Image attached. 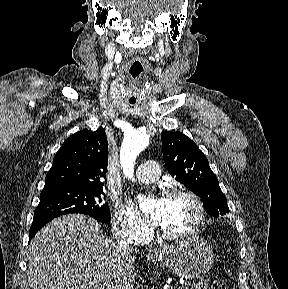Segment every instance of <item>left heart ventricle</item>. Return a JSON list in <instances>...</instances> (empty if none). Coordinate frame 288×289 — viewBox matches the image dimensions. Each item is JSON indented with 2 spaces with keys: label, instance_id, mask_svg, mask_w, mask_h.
<instances>
[{
  "label": "left heart ventricle",
  "instance_id": "1",
  "mask_svg": "<svg viewBox=\"0 0 288 289\" xmlns=\"http://www.w3.org/2000/svg\"><path fill=\"white\" fill-rule=\"evenodd\" d=\"M156 208L160 209V226L170 232H182L189 229L197 215L192 200L184 196L159 200L153 209Z\"/></svg>",
  "mask_w": 288,
  "mask_h": 289
}]
</instances>
